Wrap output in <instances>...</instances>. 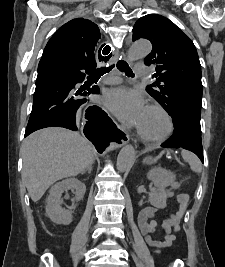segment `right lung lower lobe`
<instances>
[{"instance_id": "obj_1", "label": "right lung lower lobe", "mask_w": 225, "mask_h": 267, "mask_svg": "<svg viewBox=\"0 0 225 267\" xmlns=\"http://www.w3.org/2000/svg\"><path fill=\"white\" fill-rule=\"evenodd\" d=\"M90 73L79 59L57 54L43 55L38 65L33 106L24 137L46 127L76 131L77 110L90 102L89 95L99 93L97 87L77 86ZM91 108L94 120L88 118L84 133L102 153L115 125L99 107L90 106L88 109Z\"/></svg>"}]
</instances>
